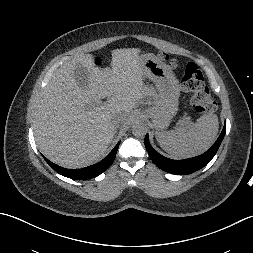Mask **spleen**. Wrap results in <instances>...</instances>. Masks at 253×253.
<instances>
[{
	"label": "spleen",
	"mask_w": 253,
	"mask_h": 253,
	"mask_svg": "<svg viewBox=\"0 0 253 253\" xmlns=\"http://www.w3.org/2000/svg\"><path fill=\"white\" fill-rule=\"evenodd\" d=\"M219 122L215 114L199 117L193 125L168 132H156L161 148L174 158H190L205 152L215 141Z\"/></svg>",
	"instance_id": "1"
}]
</instances>
